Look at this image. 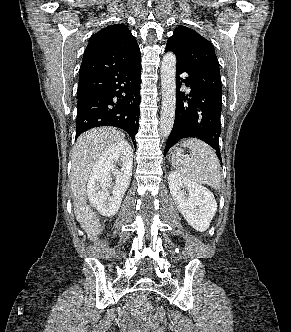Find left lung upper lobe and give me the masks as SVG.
I'll return each instance as SVG.
<instances>
[{"label": "left lung upper lobe", "instance_id": "obj_1", "mask_svg": "<svg viewBox=\"0 0 291 332\" xmlns=\"http://www.w3.org/2000/svg\"><path fill=\"white\" fill-rule=\"evenodd\" d=\"M165 50L175 53L177 62L189 69L220 71L212 43L189 27L178 26L168 39Z\"/></svg>", "mask_w": 291, "mask_h": 332}]
</instances>
